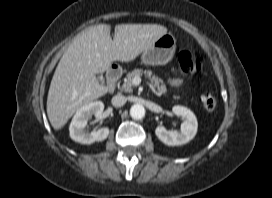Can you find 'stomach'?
<instances>
[{"mask_svg": "<svg viewBox=\"0 0 272 198\" xmlns=\"http://www.w3.org/2000/svg\"><path fill=\"white\" fill-rule=\"evenodd\" d=\"M176 39L172 34H165L142 54V62L145 65H164L174 56Z\"/></svg>", "mask_w": 272, "mask_h": 198, "instance_id": "0dacf381", "label": "stomach"}]
</instances>
